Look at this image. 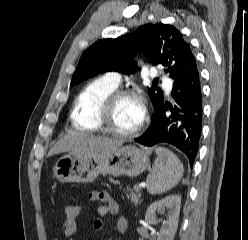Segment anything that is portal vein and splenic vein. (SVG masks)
<instances>
[{
	"label": "portal vein and splenic vein",
	"instance_id": "1",
	"mask_svg": "<svg viewBox=\"0 0 248 240\" xmlns=\"http://www.w3.org/2000/svg\"><path fill=\"white\" fill-rule=\"evenodd\" d=\"M145 184H142L141 186H144ZM137 187H140V186H138V185H136Z\"/></svg>",
	"mask_w": 248,
	"mask_h": 240
}]
</instances>
